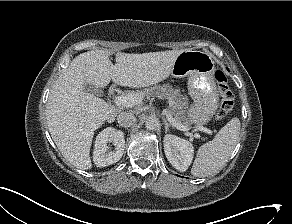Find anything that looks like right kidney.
I'll use <instances>...</instances> for the list:
<instances>
[{"label": "right kidney", "instance_id": "ca27d5eb", "mask_svg": "<svg viewBox=\"0 0 292 224\" xmlns=\"http://www.w3.org/2000/svg\"><path fill=\"white\" fill-rule=\"evenodd\" d=\"M111 141L116 146L114 151H109L107 143ZM125 148L124 133L112 127L101 131L95 140L93 161L97 167H106L118 162Z\"/></svg>", "mask_w": 292, "mask_h": 224}]
</instances>
